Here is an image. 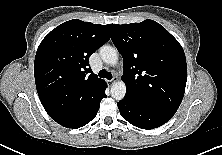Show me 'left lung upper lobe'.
I'll use <instances>...</instances> for the list:
<instances>
[{
	"instance_id": "1",
	"label": "left lung upper lobe",
	"mask_w": 222,
	"mask_h": 155,
	"mask_svg": "<svg viewBox=\"0 0 222 155\" xmlns=\"http://www.w3.org/2000/svg\"><path fill=\"white\" fill-rule=\"evenodd\" d=\"M123 57L125 98L176 113L185 92L187 64L182 46L159 23L109 24Z\"/></svg>"
}]
</instances>
